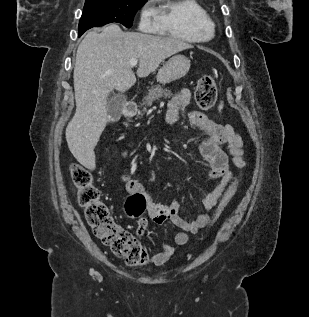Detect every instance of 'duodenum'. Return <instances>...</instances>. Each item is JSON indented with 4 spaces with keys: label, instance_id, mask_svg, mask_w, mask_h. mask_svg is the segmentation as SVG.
I'll return each mask as SVG.
<instances>
[{
    "label": "duodenum",
    "instance_id": "duodenum-1",
    "mask_svg": "<svg viewBox=\"0 0 309 317\" xmlns=\"http://www.w3.org/2000/svg\"><path fill=\"white\" fill-rule=\"evenodd\" d=\"M136 105L134 103H127L123 108V115L126 118H130L135 114Z\"/></svg>",
    "mask_w": 309,
    "mask_h": 317
}]
</instances>
